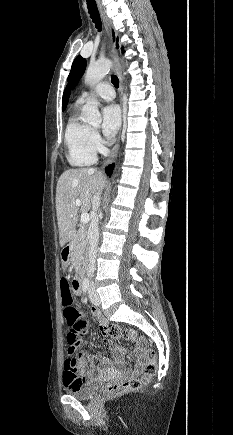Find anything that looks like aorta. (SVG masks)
I'll use <instances>...</instances> for the list:
<instances>
[{
  "instance_id": "1",
  "label": "aorta",
  "mask_w": 233,
  "mask_h": 435,
  "mask_svg": "<svg viewBox=\"0 0 233 435\" xmlns=\"http://www.w3.org/2000/svg\"><path fill=\"white\" fill-rule=\"evenodd\" d=\"M112 62L110 60H100L90 65L85 73V83L94 85L102 80L110 71ZM82 120L91 125L98 126L101 124V115L98 109L97 101H89L82 108Z\"/></svg>"
}]
</instances>
